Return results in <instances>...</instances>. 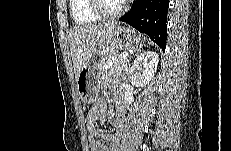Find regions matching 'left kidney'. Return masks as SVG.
Returning <instances> with one entry per match:
<instances>
[{
  "mask_svg": "<svg viewBox=\"0 0 231 151\" xmlns=\"http://www.w3.org/2000/svg\"><path fill=\"white\" fill-rule=\"evenodd\" d=\"M158 61L156 52L146 51L138 55L130 67L131 83L137 87L147 85L157 71Z\"/></svg>",
  "mask_w": 231,
  "mask_h": 151,
  "instance_id": "obj_1",
  "label": "left kidney"
}]
</instances>
